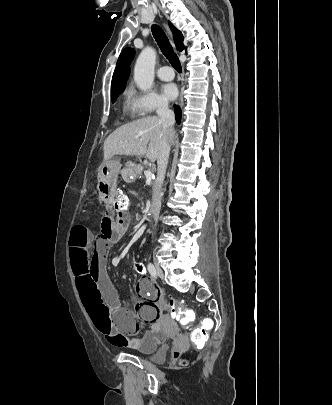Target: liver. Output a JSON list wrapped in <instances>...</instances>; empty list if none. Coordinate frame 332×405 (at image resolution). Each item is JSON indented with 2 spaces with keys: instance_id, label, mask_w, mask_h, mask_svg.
Wrapping results in <instances>:
<instances>
[{
  "instance_id": "1",
  "label": "liver",
  "mask_w": 332,
  "mask_h": 405,
  "mask_svg": "<svg viewBox=\"0 0 332 405\" xmlns=\"http://www.w3.org/2000/svg\"><path fill=\"white\" fill-rule=\"evenodd\" d=\"M165 130L156 116H148L123 125L105 140L104 161L114 155L146 156L150 161L157 160L162 147ZM174 133L169 136L172 140Z\"/></svg>"
}]
</instances>
